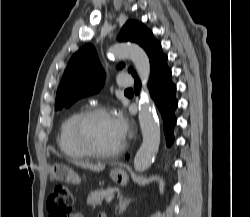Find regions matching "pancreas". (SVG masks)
Here are the masks:
<instances>
[{
  "instance_id": "cf45deb5",
  "label": "pancreas",
  "mask_w": 250,
  "mask_h": 217,
  "mask_svg": "<svg viewBox=\"0 0 250 217\" xmlns=\"http://www.w3.org/2000/svg\"><path fill=\"white\" fill-rule=\"evenodd\" d=\"M113 193H114L113 189L96 190V191L92 192L91 194H89V196L87 198V204L91 205L93 207L100 206L102 204V201L104 200V198L112 195Z\"/></svg>"
}]
</instances>
